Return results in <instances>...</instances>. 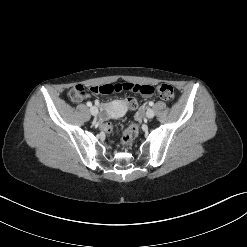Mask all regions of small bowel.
<instances>
[{
    "label": "small bowel",
    "mask_w": 247,
    "mask_h": 247,
    "mask_svg": "<svg viewBox=\"0 0 247 247\" xmlns=\"http://www.w3.org/2000/svg\"><path fill=\"white\" fill-rule=\"evenodd\" d=\"M131 92H135V91H131ZM135 93H136V92H135ZM85 98H86L85 95L79 96V97H71V99H72L74 102H81V101H83ZM146 98H149V97H146ZM124 102H125V101H124ZM101 106H102V108H103L104 110H107V106H106L105 104H102Z\"/></svg>",
    "instance_id": "small-bowel-1"
}]
</instances>
